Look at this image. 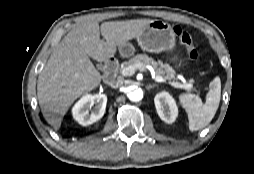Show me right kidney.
Wrapping results in <instances>:
<instances>
[{"label": "right kidney", "instance_id": "obj_1", "mask_svg": "<svg viewBox=\"0 0 254 174\" xmlns=\"http://www.w3.org/2000/svg\"><path fill=\"white\" fill-rule=\"evenodd\" d=\"M95 104L93 111L91 106ZM107 96L105 94H87L83 96L72 108L74 119L82 126L93 124L100 120L106 109Z\"/></svg>", "mask_w": 254, "mask_h": 174}]
</instances>
